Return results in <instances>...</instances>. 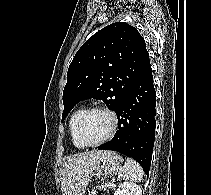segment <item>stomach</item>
<instances>
[{"mask_svg":"<svg viewBox=\"0 0 211 195\" xmlns=\"http://www.w3.org/2000/svg\"><path fill=\"white\" fill-rule=\"evenodd\" d=\"M123 158L112 151H103L95 160L89 181L93 175L98 177L116 174L122 166Z\"/></svg>","mask_w":211,"mask_h":195,"instance_id":"obj_1","label":"stomach"}]
</instances>
